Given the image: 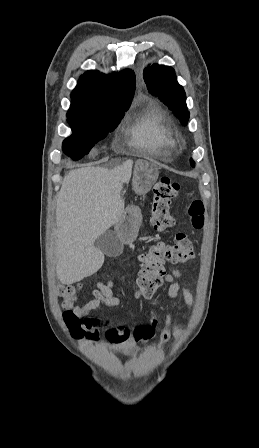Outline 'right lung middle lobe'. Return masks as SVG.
<instances>
[{"instance_id": "right-lung-middle-lobe-1", "label": "right lung middle lobe", "mask_w": 259, "mask_h": 448, "mask_svg": "<svg viewBox=\"0 0 259 448\" xmlns=\"http://www.w3.org/2000/svg\"><path fill=\"white\" fill-rule=\"evenodd\" d=\"M127 109L67 115L73 134L63 141V152L75 161L81 159L95 143L114 130Z\"/></svg>"}]
</instances>
